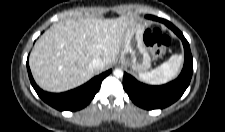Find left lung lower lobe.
Here are the masks:
<instances>
[{
  "mask_svg": "<svg viewBox=\"0 0 225 132\" xmlns=\"http://www.w3.org/2000/svg\"><path fill=\"white\" fill-rule=\"evenodd\" d=\"M147 18L164 23L182 40L185 52L183 70L176 80L161 86L140 83L131 75L124 73L123 87L130 99L139 107L147 110L162 109L177 101L187 89L193 73V60L189 43L181 31L165 19L151 15Z\"/></svg>",
  "mask_w": 225,
  "mask_h": 132,
  "instance_id": "obj_1",
  "label": "left lung lower lobe"
}]
</instances>
